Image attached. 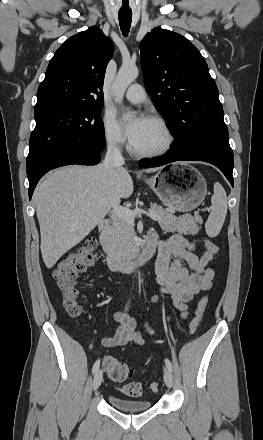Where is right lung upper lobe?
Returning <instances> with one entry per match:
<instances>
[{
  "instance_id": "cb5924a9",
  "label": "right lung upper lobe",
  "mask_w": 263,
  "mask_h": 440,
  "mask_svg": "<svg viewBox=\"0 0 263 440\" xmlns=\"http://www.w3.org/2000/svg\"><path fill=\"white\" fill-rule=\"evenodd\" d=\"M113 51L112 41L94 26L70 37L50 60L37 91L35 109L102 106L104 76Z\"/></svg>"
}]
</instances>
